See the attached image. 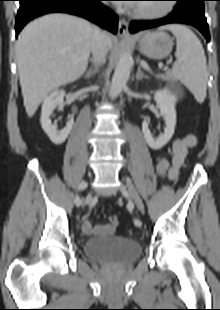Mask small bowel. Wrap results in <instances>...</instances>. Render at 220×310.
<instances>
[{
	"label": "small bowel",
	"mask_w": 220,
	"mask_h": 310,
	"mask_svg": "<svg viewBox=\"0 0 220 310\" xmlns=\"http://www.w3.org/2000/svg\"><path fill=\"white\" fill-rule=\"evenodd\" d=\"M197 144V138L194 135H186L173 141L170 154L172 156V164H170L164 157H156V171L159 176L170 181L177 180L185 159L189 155L192 148ZM82 231L85 234H99L108 236L113 234L114 227L110 225H96L94 226L88 218H83L81 222Z\"/></svg>",
	"instance_id": "obj_1"
}]
</instances>
